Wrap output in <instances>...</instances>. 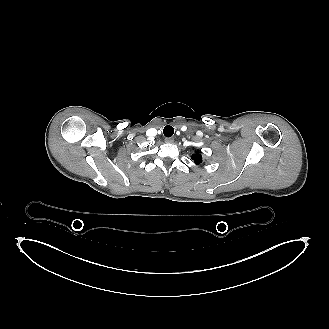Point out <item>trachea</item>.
<instances>
[{
  "label": "trachea",
  "instance_id": "1",
  "mask_svg": "<svg viewBox=\"0 0 329 329\" xmlns=\"http://www.w3.org/2000/svg\"><path fill=\"white\" fill-rule=\"evenodd\" d=\"M163 133L166 137H171L174 134V129L172 126L167 125L164 127Z\"/></svg>",
  "mask_w": 329,
  "mask_h": 329
}]
</instances>
